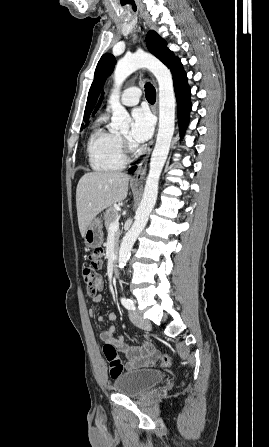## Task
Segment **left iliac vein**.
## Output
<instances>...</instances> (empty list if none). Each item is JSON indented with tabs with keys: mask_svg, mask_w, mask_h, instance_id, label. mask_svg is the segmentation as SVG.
Here are the masks:
<instances>
[{
	"mask_svg": "<svg viewBox=\"0 0 269 447\" xmlns=\"http://www.w3.org/2000/svg\"><path fill=\"white\" fill-rule=\"evenodd\" d=\"M129 317L132 323L139 328H147L150 325L149 321L146 318L142 317L138 312L134 310L129 311Z\"/></svg>",
	"mask_w": 269,
	"mask_h": 447,
	"instance_id": "left-iliac-vein-1",
	"label": "left iliac vein"
}]
</instances>
